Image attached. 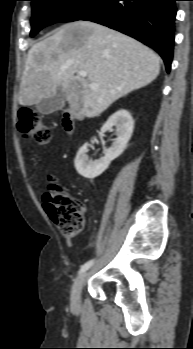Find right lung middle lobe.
I'll return each mask as SVG.
<instances>
[{
    "mask_svg": "<svg viewBox=\"0 0 193 349\" xmlns=\"http://www.w3.org/2000/svg\"><path fill=\"white\" fill-rule=\"evenodd\" d=\"M31 33L33 37L42 28L58 22L80 20L101 0H31Z\"/></svg>",
    "mask_w": 193,
    "mask_h": 349,
    "instance_id": "obj_1",
    "label": "right lung middle lobe"
}]
</instances>
